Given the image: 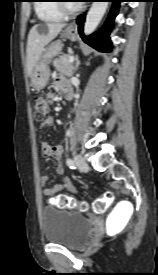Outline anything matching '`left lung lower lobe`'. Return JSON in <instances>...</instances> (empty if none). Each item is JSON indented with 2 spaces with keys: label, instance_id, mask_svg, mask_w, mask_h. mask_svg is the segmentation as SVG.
Instances as JSON below:
<instances>
[{
  "label": "left lung lower lobe",
  "instance_id": "0a47b994",
  "mask_svg": "<svg viewBox=\"0 0 158 275\" xmlns=\"http://www.w3.org/2000/svg\"><path fill=\"white\" fill-rule=\"evenodd\" d=\"M109 1L113 2V6L111 8L108 19L106 20L103 27L100 30H98L96 33L92 34L89 37H85L83 35L84 19L79 17L78 21H77V23L79 25L78 31H79L81 37L83 38V40L87 44H89L90 46H92L93 48H95L101 52H110L112 49V43L109 40V33L112 29L113 20L118 13L119 3H120V0H109Z\"/></svg>",
  "mask_w": 158,
  "mask_h": 275
}]
</instances>
